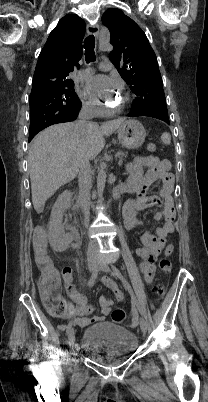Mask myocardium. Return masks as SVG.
Instances as JSON below:
<instances>
[{"label":"myocardium","mask_w":208,"mask_h":402,"mask_svg":"<svg viewBox=\"0 0 208 402\" xmlns=\"http://www.w3.org/2000/svg\"><path fill=\"white\" fill-rule=\"evenodd\" d=\"M130 101H131L130 96L127 93H125L118 102H115V106L118 109H124L129 105Z\"/></svg>","instance_id":"obj_1"}]
</instances>
